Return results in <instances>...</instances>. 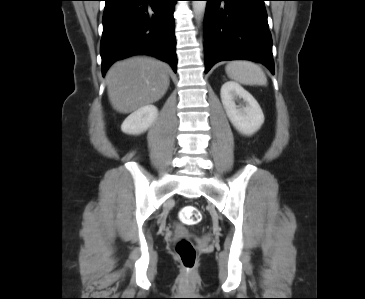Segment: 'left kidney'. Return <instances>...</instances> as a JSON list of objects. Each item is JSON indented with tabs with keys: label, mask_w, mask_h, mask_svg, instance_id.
I'll return each instance as SVG.
<instances>
[{
	"label": "left kidney",
	"mask_w": 365,
	"mask_h": 299,
	"mask_svg": "<svg viewBox=\"0 0 365 299\" xmlns=\"http://www.w3.org/2000/svg\"><path fill=\"white\" fill-rule=\"evenodd\" d=\"M221 100L233 126L245 135H252L264 123V115L255 98L239 84L229 81L221 87Z\"/></svg>",
	"instance_id": "1"
}]
</instances>
